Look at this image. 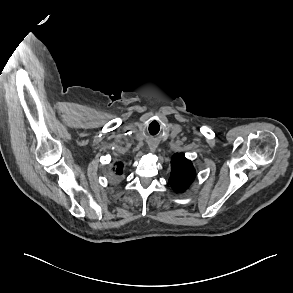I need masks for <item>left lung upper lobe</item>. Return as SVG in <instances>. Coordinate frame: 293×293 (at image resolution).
<instances>
[{
    "label": "left lung upper lobe",
    "instance_id": "5c2ea615",
    "mask_svg": "<svg viewBox=\"0 0 293 293\" xmlns=\"http://www.w3.org/2000/svg\"><path fill=\"white\" fill-rule=\"evenodd\" d=\"M196 171L192 162L181 154H175L171 161L169 184L175 192H184L193 182Z\"/></svg>",
    "mask_w": 293,
    "mask_h": 293
}]
</instances>
